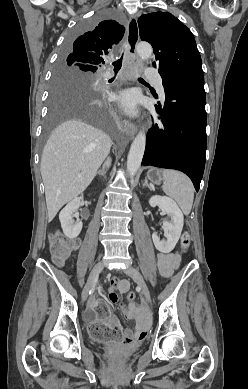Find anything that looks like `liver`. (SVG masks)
I'll use <instances>...</instances> for the list:
<instances>
[{
	"label": "liver",
	"instance_id": "1",
	"mask_svg": "<svg viewBox=\"0 0 248 389\" xmlns=\"http://www.w3.org/2000/svg\"><path fill=\"white\" fill-rule=\"evenodd\" d=\"M111 145L107 134L82 120L65 121L52 132L40 165L49 221L90 185Z\"/></svg>",
	"mask_w": 248,
	"mask_h": 389
}]
</instances>
